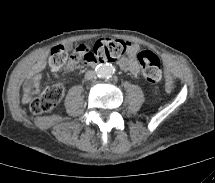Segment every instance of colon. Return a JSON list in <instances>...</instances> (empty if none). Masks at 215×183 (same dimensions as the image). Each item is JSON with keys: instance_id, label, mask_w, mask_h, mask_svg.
<instances>
[{"instance_id": "obj_1", "label": "colon", "mask_w": 215, "mask_h": 183, "mask_svg": "<svg viewBox=\"0 0 215 183\" xmlns=\"http://www.w3.org/2000/svg\"><path fill=\"white\" fill-rule=\"evenodd\" d=\"M126 44L114 39H99L91 47L80 45L76 47L70 60L79 63L81 61L88 63H107L114 62L122 56L126 50ZM139 61L143 67L145 79L155 84L160 81L161 65L158 56L152 51L146 50L138 54ZM67 60V49L63 45H57L52 48L49 57V65L52 69H58L65 64ZM64 94V87L59 84H52L37 97L30 100V109L35 114L50 112L61 100Z\"/></svg>"}]
</instances>
